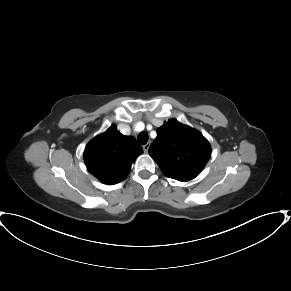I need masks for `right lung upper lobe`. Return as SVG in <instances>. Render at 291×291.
Listing matches in <instances>:
<instances>
[{"label":"right lung upper lobe","mask_w":291,"mask_h":291,"mask_svg":"<svg viewBox=\"0 0 291 291\" xmlns=\"http://www.w3.org/2000/svg\"><path fill=\"white\" fill-rule=\"evenodd\" d=\"M143 153L132 136L121 134L115 126L95 137L86 146L84 160L88 171L105 184L121 182L132 163Z\"/></svg>","instance_id":"1"}]
</instances>
